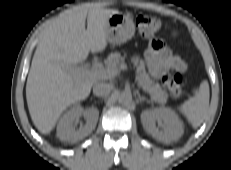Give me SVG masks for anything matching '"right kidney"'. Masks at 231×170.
Returning a JSON list of instances; mask_svg holds the SVG:
<instances>
[{
    "mask_svg": "<svg viewBox=\"0 0 231 170\" xmlns=\"http://www.w3.org/2000/svg\"><path fill=\"white\" fill-rule=\"evenodd\" d=\"M83 116L86 124L75 129L74 121ZM99 111L96 108L83 109L80 105L73 106L59 120L57 136L61 141L75 143L88 136L96 127Z\"/></svg>",
    "mask_w": 231,
    "mask_h": 170,
    "instance_id": "right-kidney-1",
    "label": "right kidney"
}]
</instances>
